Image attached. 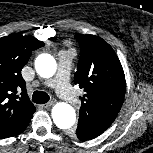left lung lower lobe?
Masks as SVG:
<instances>
[{"label":"left lung lower lobe","mask_w":153,"mask_h":153,"mask_svg":"<svg viewBox=\"0 0 153 153\" xmlns=\"http://www.w3.org/2000/svg\"><path fill=\"white\" fill-rule=\"evenodd\" d=\"M78 138V137H77ZM80 141H86V140H83V139H80V138H78Z\"/></svg>","instance_id":"1"}]
</instances>
